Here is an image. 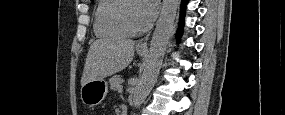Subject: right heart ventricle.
<instances>
[{"label":"right heart ventricle","instance_id":"1","mask_svg":"<svg viewBox=\"0 0 285 115\" xmlns=\"http://www.w3.org/2000/svg\"><path fill=\"white\" fill-rule=\"evenodd\" d=\"M124 0H100L94 11L93 28L96 36L117 39L130 35L120 25L117 14Z\"/></svg>","mask_w":285,"mask_h":115}]
</instances>
